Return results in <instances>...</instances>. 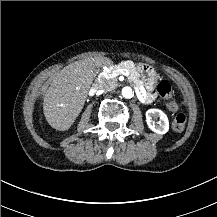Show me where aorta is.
Returning a JSON list of instances; mask_svg holds the SVG:
<instances>
[{
	"label": "aorta",
	"instance_id": "762f6f07",
	"mask_svg": "<svg viewBox=\"0 0 217 217\" xmlns=\"http://www.w3.org/2000/svg\"><path fill=\"white\" fill-rule=\"evenodd\" d=\"M121 94L124 98H127V99H130L134 96V93L131 87H123L121 90Z\"/></svg>",
	"mask_w": 217,
	"mask_h": 217
}]
</instances>
